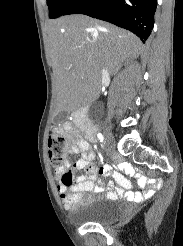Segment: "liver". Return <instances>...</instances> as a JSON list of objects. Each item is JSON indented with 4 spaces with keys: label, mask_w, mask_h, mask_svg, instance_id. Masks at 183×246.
Wrapping results in <instances>:
<instances>
[{
    "label": "liver",
    "mask_w": 183,
    "mask_h": 246,
    "mask_svg": "<svg viewBox=\"0 0 183 246\" xmlns=\"http://www.w3.org/2000/svg\"><path fill=\"white\" fill-rule=\"evenodd\" d=\"M48 43L58 111L77 108L90 90L99 88L103 68L115 75L142 47L131 32L85 15L51 21Z\"/></svg>",
    "instance_id": "1"
}]
</instances>
